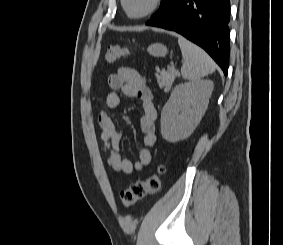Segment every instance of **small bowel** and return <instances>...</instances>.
<instances>
[{"instance_id":"1","label":"small bowel","mask_w":283,"mask_h":245,"mask_svg":"<svg viewBox=\"0 0 283 245\" xmlns=\"http://www.w3.org/2000/svg\"><path fill=\"white\" fill-rule=\"evenodd\" d=\"M106 83L111 90L106 97L110 110H115L120 103L118 91L128 98L140 101L142 113L139 125L144 138L143 146L138 152V160L133 163L120 154L122 132L108 112H101L98 116L101 128L100 150L105 155L108 167L114 172L142 173L151 162V147L156 141L157 110L152 91L147 86L145 77L138 70L128 67H121L116 73L110 74Z\"/></svg>"}]
</instances>
